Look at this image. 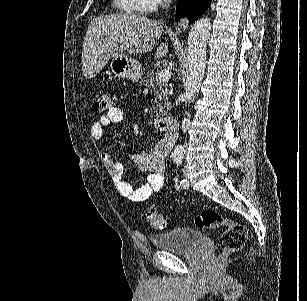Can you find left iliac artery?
<instances>
[{
    "label": "left iliac artery",
    "mask_w": 307,
    "mask_h": 301,
    "mask_svg": "<svg viewBox=\"0 0 307 301\" xmlns=\"http://www.w3.org/2000/svg\"><path fill=\"white\" fill-rule=\"evenodd\" d=\"M175 163H176L177 165H180V164L182 163V158H177V159H175ZM187 184H188V182H187V180H185V179H183V180L180 182V185H181L182 187H184V188H186Z\"/></svg>",
    "instance_id": "44dca946"
}]
</instances>
